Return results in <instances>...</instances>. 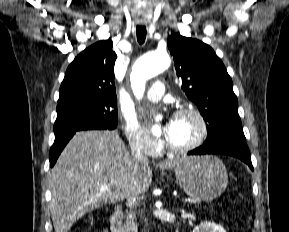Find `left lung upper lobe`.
<instances>
[{"instance_id": "5c2ea615", "label": "left lung upper lobe", "mask_w": 289, "mask_h": 232, "mask_svg": "<svg viewBox=\"0 0 289 232\" xmlns=\"http://www.w3.org/2000/svg\"><path fill=\"white\" fill-rule=\"evenodd\" d=\"M182 89L207 122L203 145L245 140L232 80L214 50L200 40L172 34L167 41Z\"/></svg>"}]
</instances>
